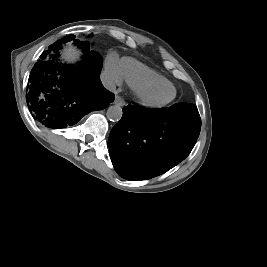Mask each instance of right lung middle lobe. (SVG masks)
<instances>
[{
    "label": "right lung middle lobe",
    "mask_w": 267,
    "mask_h": 267,
    "mask_svg": "<svg viewBox=\"0 0 267 267\" xmlns=\"http://www.w3.org/2000/svg\"><path fill=\"white\" fill-rule=\"evenodd\" d=\"M70 41H73L75 44H77L83 50V52L89 51V43L79 41V40L75 39V36H73V35H68V36L62 38L61 40H59V41L55 42L53 45H51L49 48L53 49L57 45H61L63 43H67Z\"/></svg>",
    "instance_id": "dd1d6c3e"
}]
</instances>
